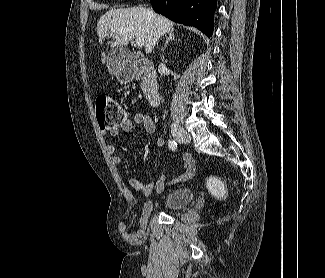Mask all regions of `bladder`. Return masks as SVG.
Returning a JSON list of instances; mask_svg holds the SVG:
<instances>
[{
	"mask_svg": "<svg viewBox=\"0 0 325 278\" xmlns=\"http://www.w3.org/2000/svg\"><path fill=\"white\" fill-rule=\"evenodd\" d=\"M193 199L192 191L183 186L171 189L162 201V207L168 211L185 208Z\"/></svg>",
	"mask_w": 325,
	"mask_h": 278,
	"instance_id": "bladder-1",
	"label": "bladder"
}]
</instances>
